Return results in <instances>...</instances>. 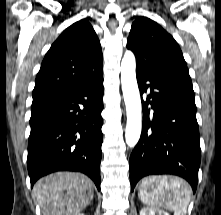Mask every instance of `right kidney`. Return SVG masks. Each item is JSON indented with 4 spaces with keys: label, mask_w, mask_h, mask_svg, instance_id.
Segmentation results:
<instances>
[{
    "label": "right kidney",
    "mask_w": 221,
    "mask_h": 215,
    "mask_svg": "<svg viewBox=\"0 0 221 215\" xmlns=\"http://www.w3.org/2000/svg\"><path fill=\"white\" fill-rule=\"evenodd\" d=\"M77 215H84L83 213H78Z\"/></svg>",
    "instance_id": "right-kidney-1"
}]
</instances>
